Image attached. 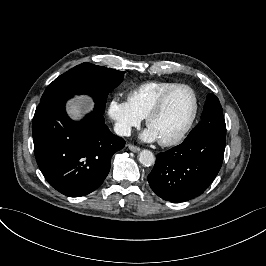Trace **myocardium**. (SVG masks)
<instances>
[{
    "instance_id": "1",
    "label": "myocardium",
    "mask_w": 266,
    "mask_h": 266,
    "mask_svg": "<svg viewBox=\"0 0 266 266\" xmlns=\"http://www.w3.org/2000/svg\"><path fill=\"white\" fill-rule=\"evenodd\" d=\"M179 88H186L192 93V95L194 97V103H195L194 112H193V115H192L190 121L188 122V124L183 128V130L177 136H175L174 138H171V139H158L161 144L166 145V146L176 145V144L180 143L187 136V134L191 131V129L193 128V126L197 120V117L199 115V111H200V102H199V97H198L196 90L192 86H190L189 84L177 83L176 85L167 89L166 91H164L160 95L158 100L150 108V110L148 111V113L146 115V123L149 126L151 119L163 110L165 103L168 100L169 96L175 90H177Z\"/></svg>"
}]
</instances>
